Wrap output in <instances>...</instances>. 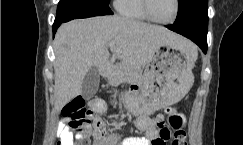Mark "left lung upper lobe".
I'll use <instances>...</instances> for the list:
<instances>
[{"mask_svg": "<svg viewBox=\"0 0 243 145\" xmlns=\"http://www.w3.org/2000/svg\"><path fill=\"white\" fill-rule=\"evenodd\" d=\"M178 14L183 20L193 21L207 33L208 0H178Z\"/></svg>", "mask_w": 243, "mask_h": 145, "instance_id": "5c2ea615", "label": "left lung upper lobe"}]
</instances>
